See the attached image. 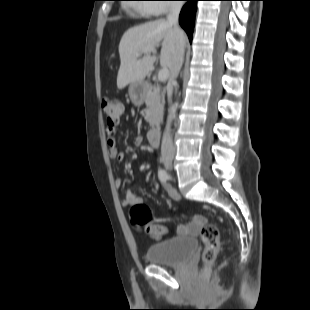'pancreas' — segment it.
Returning <instances> with one entry per match:
<instances>
[{"mask_svg": "<svg viewBox=\"0 0 310 310\" xmlns=\"http://www.w3.org/2000/svg\"><path fill=\"white\" fill-rule=\"evenodd\" d=\"M164 103V92L160 90V87L155 86L147 90L145 96L147 107L145 119L152 128L158 126L163 119Z\"/></svg>", "mask_w": 310, "mask_h": 310, "instance_id": "pancreas-1", "label": "pancreas"}]
</instances>
